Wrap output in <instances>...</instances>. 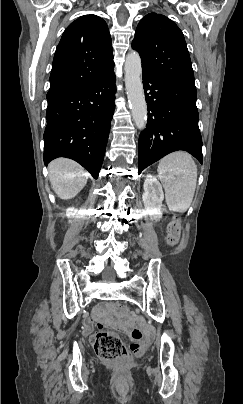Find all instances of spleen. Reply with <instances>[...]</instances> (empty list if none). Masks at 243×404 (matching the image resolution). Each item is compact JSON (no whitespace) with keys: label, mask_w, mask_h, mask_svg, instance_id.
<instances>
[{"label":"spleen","mask_w":243,"mask_h":404,"mask_svg":"<svg viewBox=\"0 0 243 404\" xmlns=\"http://www.w3.org/2000/svg\"><path fill=\"white\" fill-rule=\"evenodd\" d=\"M157 172L170 212H186L197 184V166L192 156L187 152H173L160 160Z\"/></svg>","instance_id":"3e777b00"}]
</instances>
